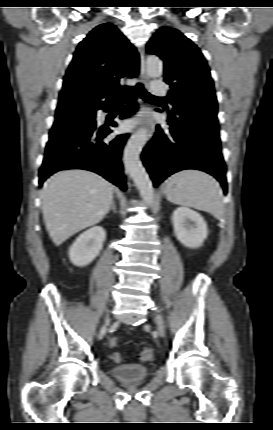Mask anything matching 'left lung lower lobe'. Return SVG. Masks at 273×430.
I'll return each instance as SVG.
<instances>
[{"label":"left lung lower lobe","mask_w":273,"mask_h":430,"mask_svg":"<svg viewBox=\"0 0 273 430\" xmlns=\"http://www.w3.org/2000/svg\"><path fill=\"white\" fill-rule=\"evenodd\" d=\"M167 123L169 131L157 126L151 143L142 153L154 186L178 171L197 169L217 178L227 193L218 120L209 116L188 120L169 113Z\"/></svg>","instance_id":"obj_1"}]
</instances>
